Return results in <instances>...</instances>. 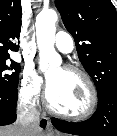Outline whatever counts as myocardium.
Listing matches in <instances>:
<instances>
[{"mask_svg":"<svg viewBox=\"0 0 117 136\" xmlns=\"http://www.w3.org/2000/svg\"><path fill=\"white\" fill-rule=\"evenodd\" d=\"M63 69L67 72L76 74L80 76L83 81L85 82L89 95H90V101L89 105L81 113L77 114H71V113H66L60 110L55 109L54 107L51 106L50 101H49V90L47 89L46 95H45V104L48 109V111L54 115H57L59 117L68 119V120H73V121H82L90 118L96 111L97 106H98V92L97 88L92 80V78L89 76V74L83 70L82 68L74 65H66L63 67Z\"/></svg>","mask_w":117,"mask_h":136,"instance_id":"1","label":"myocardium"}]
</instances>
